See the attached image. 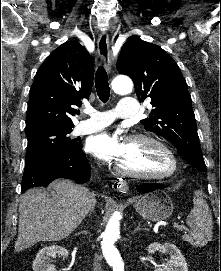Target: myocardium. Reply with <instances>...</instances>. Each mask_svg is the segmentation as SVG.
I'll return each mask as SVG.
<instances>
[{"instance_id":"myocardium-1","label":"myocardium","mask_w":221,"mask_h":271,"mask_svg":"<svg viewBox=\"0 0 221 271\" xmlns=\"http://www.w3.org/2000/svg\"><path fill=\"white\" fill-rule=\"evenodd\" d=\"M160 140H167L152 132L145 131L142 133H129L126 141L129 145L137 147L138 150H155L154 153H146L145 157L155 164H164L162 167L164 171L152 172L151 170H127L124 167V162L119 158H111L112 171H116L117 175H125V179L134 178H169L177 173L179 170L177 165H174L175 158L172 155L173 150H166V142ZM167 168V169H166ZM166 169V170H165Z\"/></svg>"}]
</instances>
